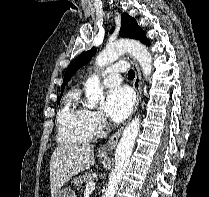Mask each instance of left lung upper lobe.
I'll return each mask as SVG.
<instances>
[{
  "label": "left lung upper lobe",
  "instance_id": "left-lung-upper-lobe-1",
  "mask_svg": "<svg viewBox=\"0 0 209 197\" xmlns=\"http://www.w3.org/2000/svg\"><path fill=\"white\" fill-rule=\"evenodd\" d=\"M119 34L122 37L137 39L146 45H150V41L146 38L144 31L138 26L136 20L126 13L121 15V29ZM96 50V48H92L86 52H83L68 66L64 75L61 89L64 88L76 71L91 59Z\"/></svg>",
  "mask_w": 209,
  "mask_h": 197
}]
</instances>
